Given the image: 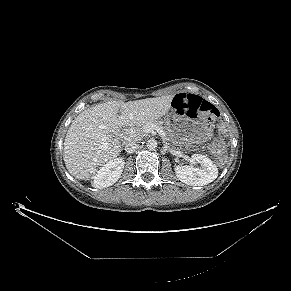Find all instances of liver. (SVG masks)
Here are the masks:
<instances>
[{"instance_id": "6515ba94", "label": "liver", "mask_w": 291, "mask_h": 291, "mask_svg": "<svg viewBox=\"0 0 291 291\" xmlns=\"http://www.w3.org/2000/svg\"><path fill=\"white\" fill-rule=\"evenodd\" d=\"M173 97L113 100L81 112L72 121L64 141L63 159L69 173L80 180L89 179L97 167L121 152L120 141L111 133L123 126L161 118L170 110Z\"/></svg>"}]
</instances>
